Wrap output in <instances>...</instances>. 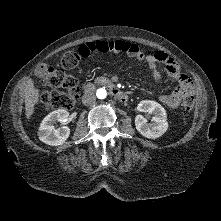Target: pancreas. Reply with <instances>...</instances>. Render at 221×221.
Here are the masks:
<instances>
[{
  "label": "pancreas",
  "instance_id": "1",
  "mask_svg": "<svg viewBox=\"0 0 221 221\" xmlns=\"http://www.w3.org/2000/svg\"><path fill=\"white\" fill-rule=\"evenodd\" d=\"M108 79L107 78H105V77H97L96 79H95V83L96 84H105V83H108Z\"/></svg>",
  "mask_w": 221,
  "mask_h": 221
}]
</instances>
